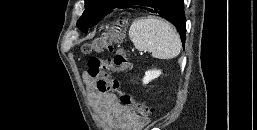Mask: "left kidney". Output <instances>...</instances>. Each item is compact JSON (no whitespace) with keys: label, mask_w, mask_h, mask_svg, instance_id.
Listing matches in <instances>:
<instances>
[{"label":"left kidney","mask_w":257,"mask_h":130,"mask_svg":"<svg viewBox=\"0 0 257 130\" xmlns=\"http://www.w3.org/2000/svg\"><path fill=\"white\" fill-rule=\"evenodd\" d=\"M161 75L160 70H149L146 71L145 76L143 78V84H148L153 79L158 78Z\"/></svg>","instance_id":"obj_1"}]
</instances>
